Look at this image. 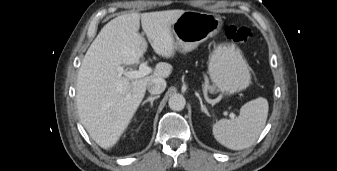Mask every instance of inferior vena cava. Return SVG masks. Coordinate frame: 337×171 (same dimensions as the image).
<instances>
[{
  "mask_svg": "<svg viewBox=\"0 0 337 171\" xmlns=\"http://www.w3.org/2000/svg\"><path fill=\"white\" fill-rule=\"evenodd\" d=\"M166 88V81L163 78L152 79L147 86L148 91L151 94H160Z\"/></svg>",
  "mask_w": 337,
  "mask_h": 171,
  "instance_id": "602c4592",
  "label": "inferior vena cava"
}]
</instances>
